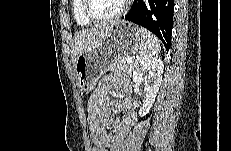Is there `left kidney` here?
Returning <instances> with one entry per match:
<instances>
[{"instance_id":"obj_1","label":"left kidney","mask_w":231,"mask_h":151,"mask_svg":"<svg viewBox=\"0 0 231 151\" xmlns=\"http://www.w3.org/2000/svg\"><path fill=\"white\" fill-rule=\"evenodd\" d=\"M163 68V62L158 57L142 56L134 62L133 81L137 85L144 83L146 92V99L139 110L140 117L148 114L155 102L162 81Z\"/></svg>"}]
</instances>
